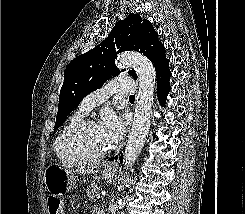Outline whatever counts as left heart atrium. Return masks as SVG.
Segmentation results:
<instances>
[{"label": "left heart atrium", "mask_w": 245, "mask_h": 214, "mask_svg": "<svg viewBox=\"0 0 245 214\" xmlns=\"http://www.w3.org/2000/svg\"><path fill=\"white\" fill-rule=\"evenodd\" d=\"M98 127L109 149L118 143L124 132L122 121L115 115H107Z\"/></svg>", "instance_id": "obj_1"}]
</instances>
